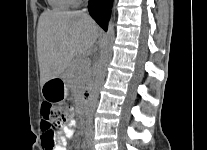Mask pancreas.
<instances>
[{
    "instance_id": "1",
    "label": "pancreas",
    "mask_w": 207,
    "mask_h": 150,
    "mask_svg": "<svg viewBox=\"0 0 207 150\" xmlns=\"http://www.w3.org/2000/svg\"><path fill=\"white\" fill-rule=\"evenodd\" d=\"M86 58H79L72 62L67 69L68 81L74 85V87L80 86L82 82H85L88 78Z\"/></svg>"
}]
</instances>
